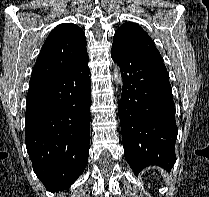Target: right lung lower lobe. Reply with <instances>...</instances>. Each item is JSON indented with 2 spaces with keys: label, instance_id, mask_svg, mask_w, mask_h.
Here are the masks:
<instances>
[{
  "label": "right lung lower lobe",
  "instance_id": "obj_1",
  "mask_svg": "<svg viewBox=\"0 0 209 197\" xmlns=\"http://www.w3.org/2000/svg\"><path fill=\"white\" fill-rule=\"evenodd\" d=\"M88 54L75 65L29 85L26 148L37 177L49 191L70 187L89 154L91 82Z\"/></svg>",
  "mask_w": 209,
  "mask_h": 197
}]
</instances>
